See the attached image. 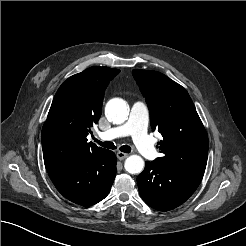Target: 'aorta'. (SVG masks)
<instances>
[{
  "label": "aorta",
  "mask_w": 246,
  "mask_h": 246,
  "mask_svg": "<svg viewBox=\"0 0 246 246\" xmlns=\"http://www.w3.org/2000/svg\"><path fill=\"white\" fill-rule=\"evenodd\" d=\"M128 113L127 103L123 99L115 98L106 104V117L115 124L125 122ZM124 167L130 174H139L144 169V160L139 155H131L125 160Z\"/></svg>",
  "instance_id": "aorta-1"
}]
</instances>
